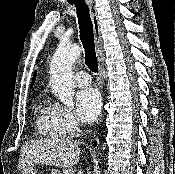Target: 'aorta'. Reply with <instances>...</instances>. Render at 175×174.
Here are the masks:
<instances>
[{"label":"aorta","mask_w":175,"mask_h":174,"mask_svg":"<svg viewBox=\"0 0 175 174\" xmlns=\"http://www.w3.org/2000/svg\"><path fill=\"white\" fill-rule=\"evenodd\" d=\"M78 44L61 42L50 64L51 88L67 107H73L72 66L81 54Z\"/></svg>","instance_id":"aorta-1"}]
</instances>
